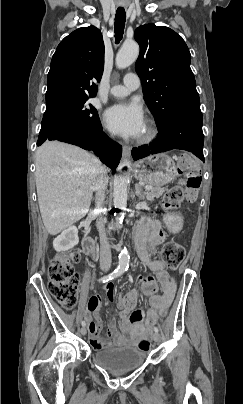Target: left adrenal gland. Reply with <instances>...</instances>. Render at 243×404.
Masks as SVG:
<instances>
[{"label":"left adrenal gland","instance_id":"1","mask_svg":"<svg viewBox=\"0 0 243 404\" xmlns=\"http://www.w3.org/2000/svg\"><path fill=\"white\" fill-rule=\"evenodd\" d=\"M135 194L138 196L139 200H145V194L143 192L142 186H139V184H135Z\"/></svg>","mask_w":243,"mask_h":404}]
</instances>
